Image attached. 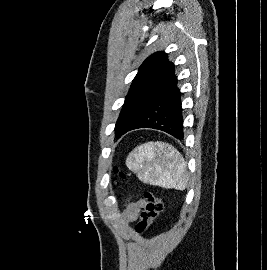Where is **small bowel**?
<instances>
[{
    "label": "small bowel",
    "mask_w": 267,
    "mask_h": 270,
    "mask_svg": "<svg viewBox=\"0 0 267 270\" xmlns=\"http://www.w3.org/2000/svg\"><path fill=\"white\" fill-rule=\"evenodd\" d=\"M145 204L144 200H138L136 202H130L125 210L124 218L127 222H133L138 219V215L140 210L143 208Z\"/></svg>",
    "instance_id": "obj_1"
}]
</instances>
